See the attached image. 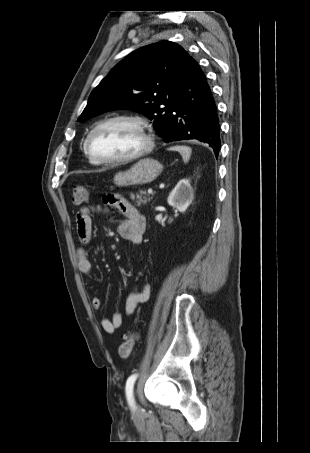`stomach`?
Returning <instances> with one entry per match:
<instances>
[{"label": "stomach", "instance_id": "stomach-1", "mask_svg": "<svg viewBox=\"0 0 310 453\" xmlns=\"http://www.w3.org/2000/svg\"><path fill=\"white\" fill-rule=\"evenodd\" d=\"M162 164L152 158L139 160L130 169L114 176V184L119 187L144 185L154 181L162 172Z\"/></svg>", "mask_w": 310, "mask_h": 453}]
</instances>
